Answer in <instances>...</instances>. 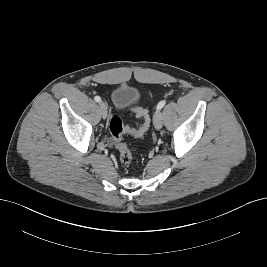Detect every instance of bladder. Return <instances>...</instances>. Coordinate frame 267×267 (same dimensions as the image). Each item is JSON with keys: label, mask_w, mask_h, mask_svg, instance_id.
Listing matches in <instances>:
<instances>
[{"label": "bladder", "mask_w": 267, "mask_h": 267, "mask_svg": "<svg viewBox=\"0 0 267 267\" xmlns=\"http://www.w3.org/2000/svg\"><path fill=\"white\" fill-rule=\"evenodd\" d=\"M140 99V92L127 84L117 86L111 92V102L117 110H124L135 105Z\"/></svg>", "instance_id": "1"}]
</instances>
